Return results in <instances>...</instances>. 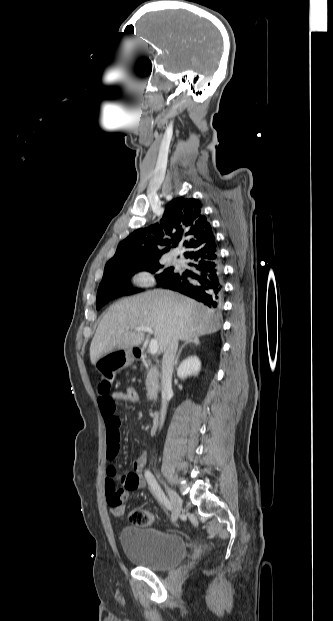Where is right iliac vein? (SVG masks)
<instances>
[{
	"instance_id": "1",
	"label": "right iliac vein",
	"mask_w": 333,
	"mask_h": 621,
	"mask_svg": "<svg viewBox=\"0 0 333 621\" xmlns=\"http://www.w3.org/2000/svg\"><path fill=\"white\" fill-rule=\"evenodd\" d=\"M158 479L160 480V482L162 484H164V482L162 481V479H160V475L157 474ZM164 486L166 487V485L164 484ZM171 504L173 506V520H177V518L179 517L181 510H182V499L179 497V495L172 489L166 487Z\"/></svg>"
}]
</instances>
